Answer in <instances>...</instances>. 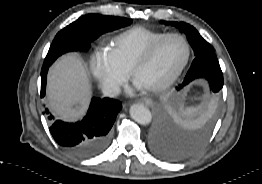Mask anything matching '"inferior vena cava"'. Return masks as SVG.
I'll return each instance as SVG.
<instances>
[{
    "mask_svg": "<svg viewBox=\"0 0 262 184\" xmlns=\"http://www.w3.org/2000/svg\"><path fill=\"white\" fill-rule=\"evenodd\" d=\"M102 92L107 97H116L120 93V87L115 83H107L102 86Z\"/></svg>",
    "mask_w": 262,
    "mask_h": 184,
    "instance_id": "inferior-vena-cava-1",
    "label": "inferior vena cava"
}]
</instances>
